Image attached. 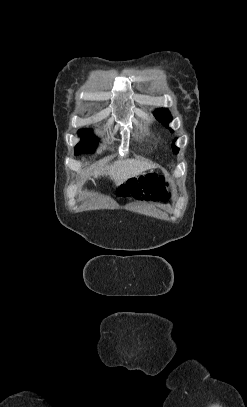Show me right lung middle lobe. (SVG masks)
<instances>
[{
	"label": "right lung middle lobe",
	"mask_w": 247,
	"mask_h": 407,
	"mask_svg": "<svg viewBox=\"0 0 247 407\" xmlns=\"http://www.w3.org/2000/svg\"><path fill=\"white\" fill-rule=\"evenodd\" d=\"M79 136L82 137V141L75 147V155L83 153H94L97 146V139L90 130H79Z\"/></svg>",
	"instance_id": "dd1d6c3e"
}]
</instances>
